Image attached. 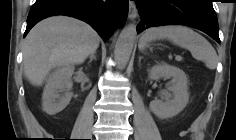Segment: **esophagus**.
I'll return each mask as SVG.
<instances>
[{"mask_svg":"<svg viewBox=\"0 0 236 140\" xmlns=\"http://www.w3.org/2000/svg\"><path fill=\"white\" fill-rule=\"evenodd\" d=\"M138 15V10L134 1H129V10H128V17L131 20H134Z\"/></svg>","mask_w":236,"mask_h":140,"instance_id":"esophagus-1","label":"esophagus"}]
</instances>
